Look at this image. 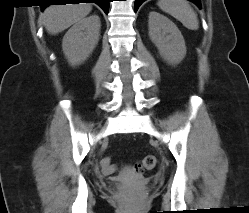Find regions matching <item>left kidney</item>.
Here are the masks:
<instances>
[{
    "instance_id": "left-kidney-1",
    "label": "left kidney",
    "mask_w": 249,
    "mask_h": 213,
    "mask_svg": "<svg viewBox=\"0 0 249 213\" xmlns=\"http://www.w3.org/2000/svg\"><path fill=\"white\" fill-rule=\"evenodd\" d=\"M149 37L161 57L170 65L179 64L186 55L184 38L178 27L164 15L149 13Z\"/></svg>"
}]
</instances>
